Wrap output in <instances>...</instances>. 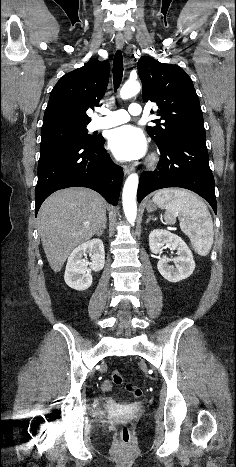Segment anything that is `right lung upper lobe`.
Returning a JSON list of instances; mask_svg holds the SVG:
<instances>
[{
	"label": "right lung upper lobe",
	"mask_w": 236,
	"mask_h": 467,
	"mask_svg": "<svg viewBox=\"0 0 236 467\" xmlns=\"http://www.w3.org/2000/svg\"><path fill=\"white\" fill-rule=\"evenodd\" d=\"M110 65L91 59L83 67L65 74L51 91L42 130L64 126H86V111L99 105L108 85Z\"/></svg>",
	"instance_id": "right-lung-upper-lobe-1"
}]
</instances>
